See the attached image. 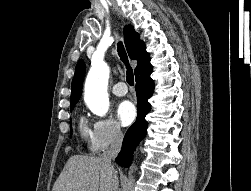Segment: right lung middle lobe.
<instances>
[{"label": "right lung middle lobe", "mask_w": 251, "mask_h": 191, "mask_svg": "<svg viewBox=\"0 0 251 191\" xmlns=\"http://www.w3.org/2000/svg\"><path fill=\"white\" fill-rule=\"evenodd\" d=\"M74 106H75V105H71V106H70L71 110L74 108ZM71 131H72V130H71Z\"/></svg>", "instance_id": "1"}]
</instances>
